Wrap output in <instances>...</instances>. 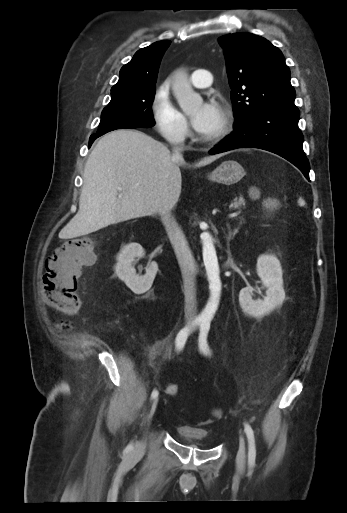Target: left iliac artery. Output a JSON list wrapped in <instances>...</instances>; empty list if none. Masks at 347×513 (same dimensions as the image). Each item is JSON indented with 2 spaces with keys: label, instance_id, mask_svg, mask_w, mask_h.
<instances>
[{
  "label": "left iliac artery",
  "instance_id": "left-iliac-artery-1",
  "mask_svg": "<svg viewBox=\"0 0 347 513\" xmlns=\"http://www.w3.org/2000/svg\"><path fill=\"white\" fill-rule=\"evenodd\" d=\"M210 330V321L203 320L200 324L199 348L204 354H210V348L207 342L208 332ZM244 430L248 439V464L249 467L255 465L256 446L254 431L248 423H244Z\"/></svg>",
  "mask_w": 347,
  "mask_h": 513
}]
</instances>
